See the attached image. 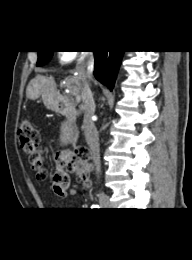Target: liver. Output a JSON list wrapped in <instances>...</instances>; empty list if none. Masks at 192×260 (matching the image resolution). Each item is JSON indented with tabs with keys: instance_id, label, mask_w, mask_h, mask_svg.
I'll list each match as a JSON object with an SVG mask.
<instances>
[{
	"instance_id": "obj_1",
	"label": "liver",
	"mask_w": 192,
	"mask_h": 260,
	"mask_svg": "<svg viewBox=\"0 0 192 260\" xmlns=\"http://www.w3.org/2000/svg\"><path fill=\"white\" fill-rule=\"evenodd\" d=\"M68 88L71 90H76L77 94L81 92V82L76 77H71L69 79V82L67 83ZM26 95L29 99L35 100L40 95L43 96V99L48 101L51 98L57 97V91H56V83L53 78L43 75H37L33 80L30 81L27 90ZM82 105L80 106V110L77 112V115L80 114V111L82 110ZM72 137V127L67 122L64 121L61 123L60 128V144L61 146L68 145L71 142Z\"/></svg>"
}]
</instances>
